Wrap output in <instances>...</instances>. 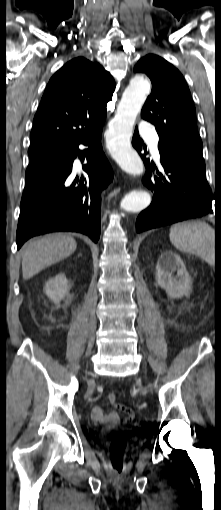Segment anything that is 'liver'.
Returning <instances> with one entry per match:
<instances>
[{"label": "liver", "instance_id": "1", "mask_svg": "<svg viewBox=\"0 0 221 510\" xmlns=\"http://www.w3.org/2000/svg\"><path fill=\"white\" fill-rule=\"evenodd\" d=\"M76 248L75 239L61 233L25 243L21 250L23 279L28 280L46 267L67 258Z\"/></svg>", "mask_w": 221, "mask_h": 510}]
</instances>
